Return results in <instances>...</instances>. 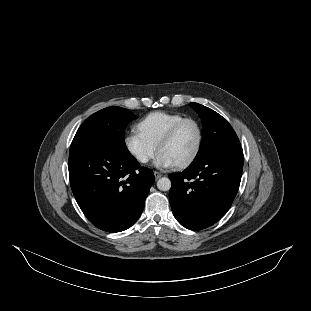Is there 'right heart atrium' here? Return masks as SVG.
Returning <instances> with one entry per match:
<instances>
[{"label": "right heart atrium", "instance_id": "right-heart-atrium-1", "mask_svg": "<svg viewBox=\"0 0 311 311\" xmlns=\"http://www.w3.org/2000/svg\"><path fill=\"white\" fill-rule=\"evenodd\" d=\"M124 147L129 156L142 166L148 164L157 153V148L147 143L134 129L126 133Z\"/></svg>", "mask_w": 311, "mask_h": 311}]
</instances>
